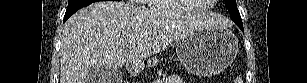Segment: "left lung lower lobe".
I'll return each mask as SVG.
<instances>
[{
	"mask_svg": "<svg viewBox=\"0 0 307 83\" xmlns=\"http://www.w3.org/2000/svg\"><path fill=\"white\" fill-rule=\"evenodd\" d=\"M238 27L244 32L243 25H238Z\"/></svg>",
	"mask_w": 307,
	"mask_h": 83,
	"instance_id": "0a47b994",
	"label": "left lung lower lobe"
}]
</instances>
